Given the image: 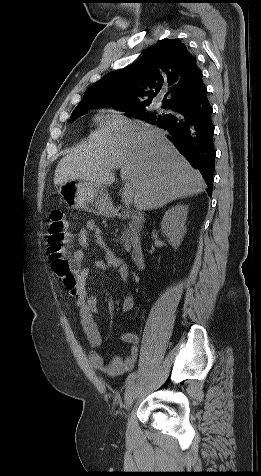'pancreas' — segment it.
I'll return each mask as SVG.
<instances>
[{"label":"pancreas","instance_id":"pancreas-1","mask_svg":"<svg viewBox=\"0 0 261 476\" xmlns=\"http://www.w3.org/2000/svg\"><path fill=\"white\" fill-rule=\"evenodd\" d=\"M129 227H125L122 231L121 243L127 251L131 250V247L138 241L137 232L133 222H129Z\"/></svg>","mask_w":261,"mask_h":476}]
</instances>
